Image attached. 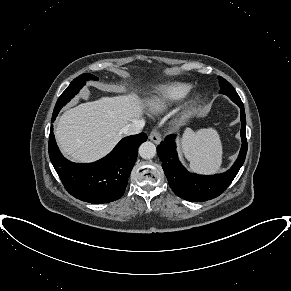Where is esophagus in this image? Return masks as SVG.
I'll list each match as a JSON object with an SVG mask.
<instances>
[{
    "mask_svg": "<svg viewBox=\"0 0 291 291\" xmlns=\"http://www.w3.org/2000/svg\"><path fill=\"white\" fill-rule=\"evenodd\" d=\"M149 139L153 141L155 144H159L161 142L160 133L156 129L152 130L149 135Z\"/></svg>",
    "mask_w": 291,
    "mask_h": 291,
    "instance_id": "34e87169",
    "label": "esophagus"
}]
</instances>
